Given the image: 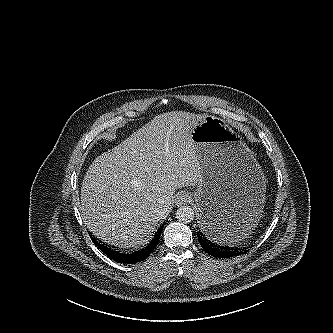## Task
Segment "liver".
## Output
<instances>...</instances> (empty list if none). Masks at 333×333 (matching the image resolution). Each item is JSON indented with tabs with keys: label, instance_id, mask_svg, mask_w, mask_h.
Segmentation results:
<instances>
[{
	"label": "liver",
	"instance_id": "liver-1",
	"mask_svg": "<svg viewBox=\"0 0 333 333\" xmlns=\"http://www.w3.org/2000/svg\"><path fill=\"white\" fill-rule=\"evenodd\" d=\"M199 120L182 111L160 114L93 161L82 182L79 206L90 232L122 248L148 241L171 211L176 189L200 180L191 139Z\"/></svg>",
	"mask_w": 333,
	"mask_h": 333
}]
</instances>
